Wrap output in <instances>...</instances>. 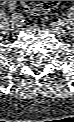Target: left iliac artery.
<instances>
[{"mask_svg": "<svg viewBox=\"0 0 74 122\" xmlns=\"http://www.w3.org/2000/svg\"><path fill=\"white\" fill-rule=\"evenodd\" d=\"M60 23V25H62V26H64L66 23H63L62 21H59Z\"/></svg>", "mask_w": 74, "mask_h": 122, "instance_id": "1", "label": "left iliac artery"}]
</instances>
